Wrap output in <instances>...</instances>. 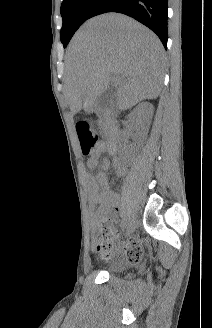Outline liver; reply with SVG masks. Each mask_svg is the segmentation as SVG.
Here are the masks:
<instances>
[{"label": "liver", "mask_w": 212, "mask_h": 328, "mask_svg": "<svg viewBox=\"0 0 212 328\" xmlns=\"http://www.w3.org/2000/svg\"><path fill=\"white\" fill-rule=\"evenodd\" d=\"M164 49L137 21L107 13L86 21L66 55L64 95L73 114L90 108L113 82L116 102L126 110L160 94Z\"/></svg>", "instance_id": "6515ba94"}]
</instances>
